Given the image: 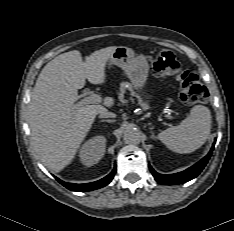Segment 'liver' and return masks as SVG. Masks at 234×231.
Returning <instances> with one entry per match:
<instances>
[{
	"label": "liver",
	"mask_w": 234,
	"mask_h": 231,
	"mask_svg": "<svg viewBox=\"0 0 234 231\" xmlns=\"http://www.w3.org/2000/svg\"><path fill=\"white\" fill-rule=\"evenodd\" d=\"M117 46L93 52L82 60L78 50L58 55L39 74L29 104L31 144L42 163L53 172L62 171L74 159L97 114L114 104L83 105L78 90L86 79L105 82V67Z\"/></svg>",
	"instance_id": "obj_1"
}]
</instances>
